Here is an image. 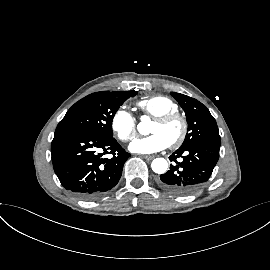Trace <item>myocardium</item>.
Instances as JSON below:
<instances>
[{"label": "myocardium", "instance_id": "myocardium-1", "mask_svg": "<svg viewBox=\"0 0 270 270\" xmlns=\"http://www.w3.org/2000/svg\"><path fill=\"white\" fill-rule=\"evenodd\" d=\"M172 121H179L181 123V132L179 136L169 144L172 148H177L185 141L188 133V122L187 119L179 112L166 113L155 118V122L161 124H167Z\"/></svg>", "mask_w": 270, "mask_h": 270}]
</instances>
